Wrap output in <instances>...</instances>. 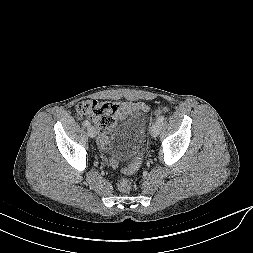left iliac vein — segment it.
Returning a JSON list of instances; mask_svg holds the SVG:
<instances>
[{"label": "left iliac vein", "instance_id": "obj_1", "mask_svg": "<svg viewBox=\"0 0 253 253\" xmlns=\"http://www.w3.org/2000/svg\"><path fill=\"white\" fill-rule=\"evenodd\" d=\"M160 130H161V123L156 121L151 127V135L153 137H157L160 133Z\"/></svg>", "mask_w": 253, "mask_h": 253}]
</instances>
